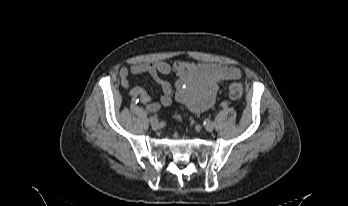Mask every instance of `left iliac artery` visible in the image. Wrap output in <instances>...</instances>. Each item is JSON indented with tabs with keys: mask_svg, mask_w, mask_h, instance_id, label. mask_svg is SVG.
<instances>
[{
	"mask_svg": "<svg viewBox=\"0 0 348 206\" xmlns=\"http://www.w3.org/2000/svg\"><path fill=\"white\" fill-rule=\"evenodd\" d=\"M231 106V103L229 101L222 102V107L224 110H227Z\"/></svg>",
	"mask_w": 348,
	"mask_h": 206,
	"instance_id": "44dca946",
	"label": "left iliac artery"
}]
</instances>
